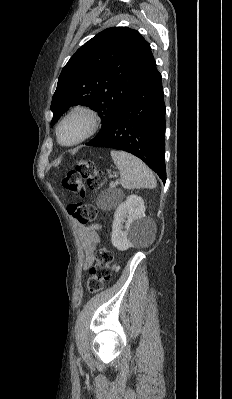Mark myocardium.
Wrapping results in <instances>:
<instances>
[{"label": "myocardium", "mask_w": 232, "mask_h": 399, "mask_svg": "<svg viewBox=\"0 0 232 399\" xmlns=\"http://www.w3.org/2000/svg\"><path fill=\"white\" fill-rule=\"evenodd\" d=\"M76 113H84L88 116L89 123H90L89 129L78 140H76L72 143H64L61 139V133H60L61 127L67 119H69L71 116H73ZM100 127H101V116L96 108L89 106V105H76V106L72 107L69 111H67L64 114V116L61 118V120L59 121V123L57 125L56 134H57V138H58L59 142L62 145L74 146V145L80 144L81 142H83V141L87 140L88 138H90L91 136H93L95 133L98 132Z\"/></svg>", "instance_id": "1"}]
</instances>
